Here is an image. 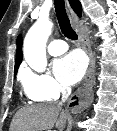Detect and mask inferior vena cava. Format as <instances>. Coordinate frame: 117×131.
<instances>
[{
	"label": "inferior vena cava",
	"instance_id": "obj_1",
	"mask_svg": "<svg viewBox=\"0 0 117 131\" xmlns=\"http://www.w3.org/2000/svg\"><path fill=\"white\" fill-rule=\"evenodd\" d=\"M61 93H62V100L60 102V105H62L68 99L69 95L71 94V88L68 86H62Z\"/></svg>",
	"mask_w": 117,
	"mask_h": 131
}]
</instances>
